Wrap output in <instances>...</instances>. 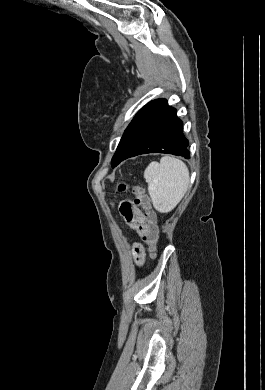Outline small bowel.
<instances>
[{
    "label": "small bowel",
    "instance_id": "small-bowel-1",
    "mask_svg": "<svg viewBox=\"0 0 265 390\" xmlns=\"http://www.w3.org/2000/svg\"><path fill=\"white\" fill-rule=\"evenodd\" d=\"M119 210L127 224L135 229L139 236L147 242L151 233V226L146 222L142 211L128 200L121 202ZM134 258L137 264L141 265L144 263L145 251L141 244H135Z\"/></svg>",
    "mask_w": 265,
    "mask_h": 390
}]
</instances>
